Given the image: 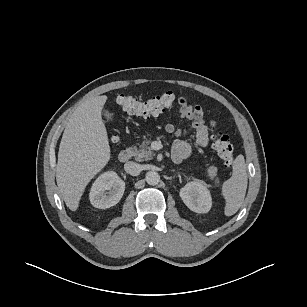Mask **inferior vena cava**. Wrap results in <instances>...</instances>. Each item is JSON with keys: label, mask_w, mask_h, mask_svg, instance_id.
<instances>
[{"label": "inferior vena cava", "mask_w": 307, "mask_h": 307, "mask_svg": "<svg viewBox=\"0 0 307 307\" xmlns=\"http://www.w3.org/2000/svg\"><path fill=\"white\" fill-rule=\"evenodd\" d=\"M124 169L127 173H129L132 176H137L142 171V166L136 162L129 161L125 163Z\"/></svg>", "instance_id": "602c4592"}]
</instances>
